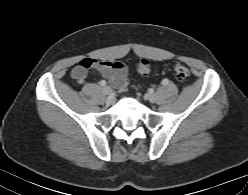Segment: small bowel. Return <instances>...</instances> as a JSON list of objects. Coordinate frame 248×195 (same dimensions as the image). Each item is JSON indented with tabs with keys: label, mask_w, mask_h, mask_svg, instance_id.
<instances>
[{
	"label": "small bowel",
	"mask_w": 248,
	"mask_h": 195,
	"mask_svg": "<svg viewBox=\"0 0 248 195\" xmlns=\"http://www.w3.org/2000/svg\"><path fill=\"white\" fill-rule=\"evenodd\" d=\"M93 66L89 69L86 74L82 78H74L77 82L82 83L86 78L88 72L96 71L99 73L104 79L107 80L109 85L118 89V85L120 80L126 78L127 70L125 65L120 61H109V60H93Z\"/></svg>",
	"instance_id": "obj_1"
}]
</instances>
